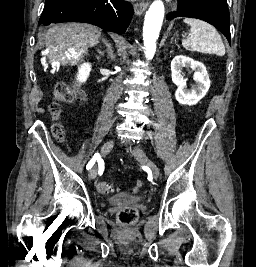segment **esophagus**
<instances>
[{"mask_svg": "<svg viewBox=\"0 0 256 267\" xmlns=\"http://www.w3.org/2000/svg\"><path fill=\"white\" fill-rule=\"evenodd\" d=\"M149 0H142L134 5L136 15H141L148 7Z\"/></svg>", "mask_w": 256, "mask_h": 267, "instance_id": "obj_1", "label": "esophagus"}]
</instances>
